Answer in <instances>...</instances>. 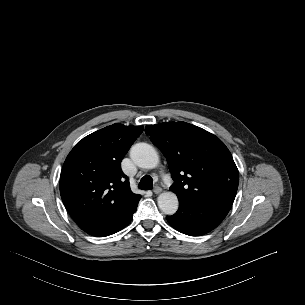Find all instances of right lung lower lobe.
<instances>
[{
	"instance_id": "1",
	"label": "right lung lower lobe",
	"mask_w": 305,
	"mask_h": 305,
	"mask_svg": "<svg viewBox=\"0 0 305 305\" xmlns=\"http://www.w3.org/2000/svg\"><path fill=\"white\" fill-rule=\"evenodd\" d=\"M136 208H134L124 218L115 222L111 227H109L105 230L93 231V232H90L89 234L93 235V236H97V237H105V236H108V235H111V234H114V233L118 232L119 230L123 229L125 226H127L130 223V221L132 220V215L136 211Z\"/></svg>"
}]
</instances>
